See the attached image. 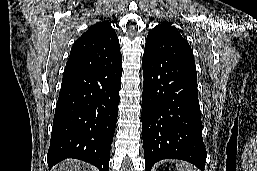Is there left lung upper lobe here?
Masks as SVG:
<instances>
[{"label":"left lung upper lobe","mask_w":257,"mask_h":171,"mask_svg":"<svg viewBox=\"0 0 257 171\" xmlns=\"http://www.w3.org/2000/svg\"><path fill=\"white\" fill-rule=\"evenodd\" d=\"M145 52H168L194 64V55L188 42L168 24H159L149 32Z\"/></svg>","instance_id":"1"}]
</instances>
